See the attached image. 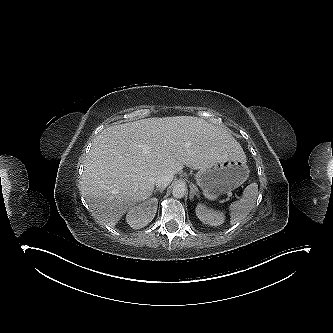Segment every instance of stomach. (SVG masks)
Segmentation results:
<instances>
[{"label": "stomach", "mask_w": 333, "mask_h": 333, "mask_svg": "<svg viewBox=\"0 0 333 333\" xmlns=\"http://www.w3.org/2000/svg\"><path fill=\"white\" fill-rule=\"evenodd\" d=\"M249 172L246 159H229L200 169L195 175V180L201 189L211 194H222L242 185Z\"/></svg>", "instance_id": "stomach-1"}]
</instances>
